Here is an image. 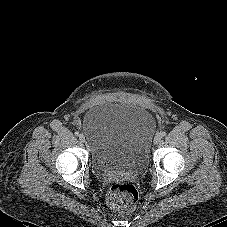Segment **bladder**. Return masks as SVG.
Here are the masks:
<instances>
[{"label":"bladder","mask_w":227,"mask_h":227,"mask_svg":"<svg viewBox=\"0 0 227 227\" xmlns=\"http://www.w3.org/2000/svg\"><path fill=\"white\" fill-rule=\"evenodd\" d=\"M156 127L148 110L128 103L108 102L92 107L82 128L99 175L121 174L144 168Z\"/></svg>","instance_id":"obj_1"}]
</instances>
